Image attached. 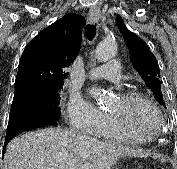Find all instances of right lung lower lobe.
<instances>
[{"instance_id": "1", "label": "right lung lower lobe", "mask_w": 177, "mask_h": 169, "mask_svg": "<svg viewBox=\"0 0 177 169\" xmlns=\"http://www.w3.org/2000/svg\"><path fill=\"white\" fill-rule=\"evenodd\" d=\"M58 118L43 111H10L4 148L18 133L38 127L57 125Z\"/></svg>"}]
</instances>
